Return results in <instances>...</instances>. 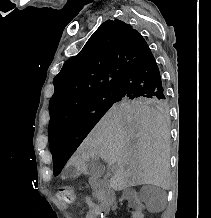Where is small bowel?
Returning a JSON list of instances; mask_svg holds the SVG:
<instances>
[{
  "mask_svg": "<svg viewBox=\"0 0 211 218\" xmlns=\"http://www.w3.org/2000/svg\"><path fill=\"white\" fill-rule=\"evenodd\" d=\"M88 202L90 203V208L86 211L85 217L84 218H97L100 209L97 205L93 204L91 199L88 198ZM133 218H143V214L140 210H135L132 214Z\"/></svg>",
  "mask_w": 211,
  "mask_h": 218,
  "instance_id": "small-bowel-1",
  "label": "small bowel"
}]
</instances>
